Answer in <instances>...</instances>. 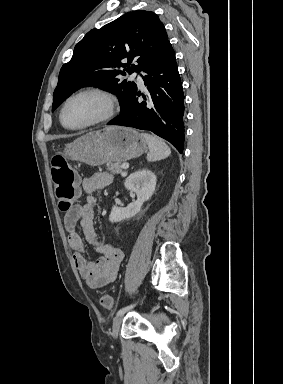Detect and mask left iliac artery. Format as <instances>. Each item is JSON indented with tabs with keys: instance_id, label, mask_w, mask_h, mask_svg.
Instances as JSON below:
<instances>
[{
	"instance_id": "left-iliac-artery-1",
	"label": "left iliac artery",
	"mask_w": 283,
	"mask_h": 384,
	"mask_svg": "<svg viewBox=\"0 0 283 384\" xmlns=\"http://www.w3.org/2000/svg\"><path fill=\"white\" fill-rule=\"evenodd\" d=\"M137 303H138V302H136V303H134V304H131V305H129V306H126V307L121 308V309L117 312V315L126 313V312L129 311L130 309L134 308V307L137 305Z\"/></svg>"
}]
</instances>
